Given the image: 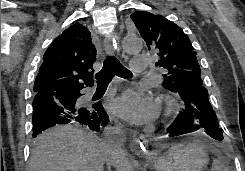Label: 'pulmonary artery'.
Listing matches in <instances>:
<instances>
[{"label": "pulmonary artery", "instance_id": "e3ab8cb5", "mask_svg": "<svg viewBox=\"0 0 245 171\" xmlns=\"http://www.w3.org/2000/svg\"><path fill=\"white\" fill-rule=\"evenodd\" d=\"M148 57L138 55L134 56L131 62V68L134 72H143L146 70Z\"/></svg>", "mask_w": 245, "mask_h": 171}]
</instances>
